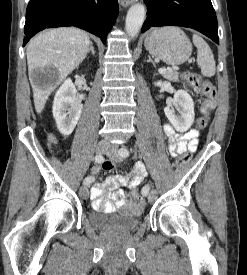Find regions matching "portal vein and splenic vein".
Masks as SVG:
<instances>
[{"label":"portal vein and splenic vein","mask_w":247,"mask_h":275,"mask_svg":"<svg viewBox=\"0 0 247 275\" xmlns=\"http://www.w3.org/2000/svg\"><path fill=\"white\" fill-rule=\"evenodd\" d=\"M158 71H159L160 74H164V73L167 71V69H165V68H160Z\"/></svg>","instance_id":"portal-vein-and-splenic-vein-1"}]
</instances>
